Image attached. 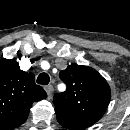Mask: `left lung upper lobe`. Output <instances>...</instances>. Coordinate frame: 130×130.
I'll use <instances>...</instances> for the list:
<instances>
[{"label":"left lung upper lobe","instance_id":"5c2ea615","mask_svg":"<svg viewBox=\"0 0 130 130\" xmlns=\"http://www.w3.org/2000/svg\"><path fill=\"white\" fill-rule=\"evenodd\" d=\"M59 76L67 89L54 96L55 108L97 122L111 99L107 81L95 69L77 64L69 65Z\"/></svg>","mask_w":130,"mask_h":130}]
</instances>
